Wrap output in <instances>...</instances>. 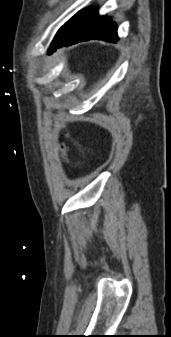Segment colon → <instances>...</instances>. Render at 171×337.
I'll return each mask as SVG.
<instances>
[{
    "label": "colon",
    "instance_id": "obj_1",
    "mask_svg": "<svg viewBox=\"0 0 171 337\" xmlns=\"http://www.w3.org/2000/svg\"><path fill=\"white\" fill-rule=\"evenodd\" d=\"M60 152H61L63 159L65 161H68L67 147L64 144L60 146Z\"/></svg>",
    "mask_w": 171,
    "mask_h": 337
}]
</instances>
